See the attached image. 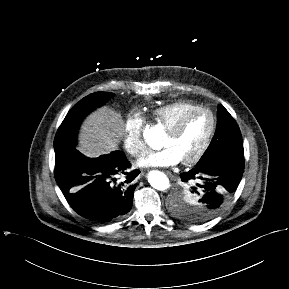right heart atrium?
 Listing matches in <instances>:
<instances>
[{
    "label": "right heart atrium",
    "instance_id": "obj_1",
    "mask_svg": "<svg viewBox=\"0 0 289 289\" xmlns=\"http://www.w3.org/2000/svg\"><path fill=\"white\" fill-rule=\"evenodd\" d=\"M145 118L138 112L127 115L123 126V145L133 157L139 158L146 154L147 146L143 139Z\"/></svg>",
    "mask_w": 289,
    "mask_h": 289
}]
</instances>
